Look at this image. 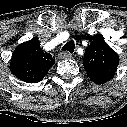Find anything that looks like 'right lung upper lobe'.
I'll use <instances>...</instances> for the list:
<instances>
[{
  "label": "right lung upper lobe",
  "instance_id": "1",
  "mask_svg": "<svg viewBox=\"0 0 127 127\" xmlns=\"http://www.w3.org/2000/svg\"><path fill=\"white\" fill-rule=\"evenodd\" d=\"M37 38L19 44L13 52L10 71L28 83L41 81L55 63V57L40 48Z\"/></svg>",
  "mask_w": 127,
  "mask_h": 127
}]
</instances>
